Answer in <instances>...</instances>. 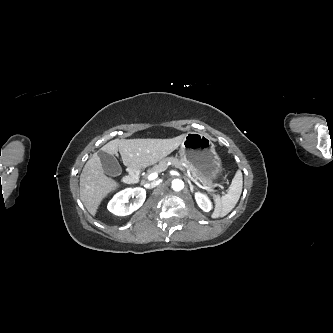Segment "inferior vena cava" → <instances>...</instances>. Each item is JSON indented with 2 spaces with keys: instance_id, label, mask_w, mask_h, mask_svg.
Wrapping results in <instances>:
<instances>
[{
  "instance_id": "obj_1",
  "label": "inferior vena cava",
  "mask_w": 333,
  "mask_h": 333,
  "mask_svg": "<svg viewBox=\"0 0 333 333\" xmlns=\"http://www.w3.org/2000/svg\"><path fill=\"white\" fill-rule=\"evenodd\" d=\"M157 185H158L157 182H152L151 184H148V185H146V186H147V188H154V187H156Z\"/></svg>"
}]
</instances>
